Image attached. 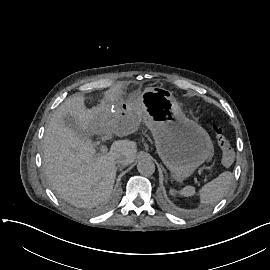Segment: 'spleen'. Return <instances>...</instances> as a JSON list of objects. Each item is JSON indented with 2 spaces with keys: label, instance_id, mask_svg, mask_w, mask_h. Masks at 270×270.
<instances>
[{
  "label": "spleen",
  "instance_id": "spleen-1",
  "mask_svg": "<svg viewBox=\"0 0 270 270\" xmlns=\"http://www.w3.org/2000/svg\"><path fill=\"white\" fill-rule=\"evenodd\" d=\"M232 176L233 174L231 171H224L220 173L217 178L203 185L198 190L200 203L209 204L219 201L228 191ZM171 194L176 195L177 192L172 190ZM178 195L182 197H191L195 195V188L193 186H187L180 190Z\"/></svg>",
  "mask_w": 270,
  "mask_h": 270
}]
</instances>
